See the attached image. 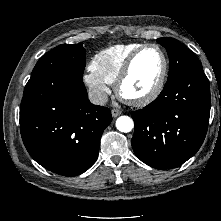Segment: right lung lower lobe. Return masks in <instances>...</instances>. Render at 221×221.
I'll return each instance as SVG.
<instances>
[{
	"mask_svg": "<svg viewBox=\"0 0 221 221\" xmlns=\"http://www.w3.org/2000/svg\"><path fill=\"white\" fill-rule=\"evenodd\" d=\"M108 108L93 105L83 81L30 79L20 106V130L31 157L45 169L77 176L96 161L111 123Z\"/></svg>",
	"mask_w": 221,
	"mask_h": 221,
	"instance_id": "98d812e1",
	"label": "right lung lower lobe"
}]
</instances>
